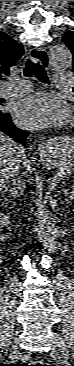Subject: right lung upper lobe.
I'll list each match as a JSON object with an SVG mask.
<instances>
[{"label": "right lung upper lobe", "mask_w": 74, "mask_h": 366, "mask_svg": "<svg viewBox=\"0 0 74 366\" xmlns=\"http://www.w3.org/2000/svg\"><path fill=\"white\" fill-rule=\"evenodd\" d=\"M24 55V48L4 32H0V80L9 75L10 68Z\"/></svg>", "instance_id": "1"}]
</instances>
